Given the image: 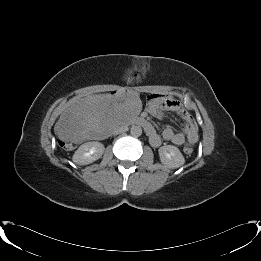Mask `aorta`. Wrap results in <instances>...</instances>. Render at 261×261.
<instances>
[{
    "instance_id": "762f6f07",
    "label": "aorta",
    "mask_w": 261,
    "mask_h": 261,
    "mask_svg": "<svg viewBox=\"0 0 261 261\" xmlns=\"http://www.w3.org/2000/svg\"><path fill=\"white\" fill-rule=\"evenodd\" d=\"M130 133L134 137H139L142 134V128L138 125H133L130 129Z\"/></svg>"
}]
</instances>
